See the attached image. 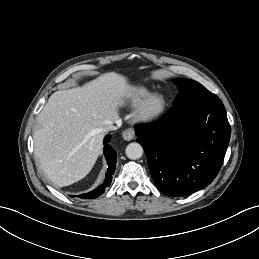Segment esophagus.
Wrapping results in <instances>:
<instances>
[{"label":"esophagus","instance_id":"esophagus-1","mask_svg":"<svg viewBox=\"0 0 259 259\" xmlns=\"http://www.w3.org/2000/svg\"><path fill=\"white\" fill-rule=\"evenodd\" d=\"M122 137L124 140L130 141L135 138V130L134 128H127L123 131Z\"/></svg>","mask_w":259,"mask_h":259}]
</instances>
